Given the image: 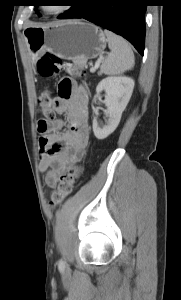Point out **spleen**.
<instances>
[{
    "mask_svg": "<svg viewBox=\"0 0 181 300\" xmlns=\"http://www.w3.org/2000/svg\"><path fill=\"white\" fill-rule=\"evenodd\" d=\"M110 54L103 60L100 70L105 75L122 74L134 66V53L128 42L115 33L104 31Z\"/></svg>",
    "mask_w": 181,
    "mask_h": 300,
    "instance_id": "3e777b00",
    "label": "spleen"
}]
</instances>
